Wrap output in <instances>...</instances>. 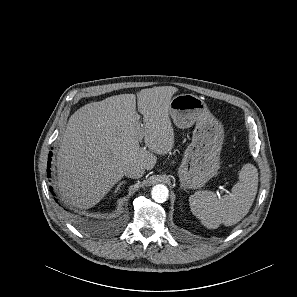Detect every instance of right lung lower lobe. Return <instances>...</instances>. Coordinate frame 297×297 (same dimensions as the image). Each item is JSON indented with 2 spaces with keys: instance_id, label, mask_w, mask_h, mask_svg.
I'll return each instance as SVG.
<instances>
[{
  "instance_id": "right-lung-lower-lobe-1",
  "label": "right lung lower lobe",
  "mask_w": 297,
  "mask_h": 297,
  "mask_svg": "<svg viewBox=\"0 0 297 297\" xmlns=\"http://www.w3.org/2000/svg\"><path fill=\"white\" fill-rule=\"evenodd\" d=\"M51 156H52V152H49V157H48V169H47L48 176H50V169H49V167H50V165H51V163H50V161H51ZM51 190H52V188H51Z\"/></svg>"
}]
</instances>
